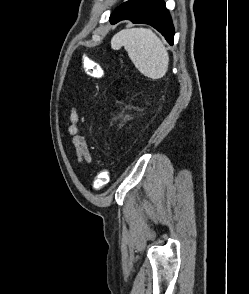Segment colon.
Returning <instances> with one entry per match:
<instances>
[{
	"instance_id": "1",
	"label": "colon",
	"mask_w": 249,
	"mask_h": 294,
	"mask_svg": "<svg viewBox=\"0 0 249 294\" xmlns=\"http://www.w3.org/2000/svg\"><path fill=\"white\" fill-rule=\"evenodd\" d=\"M82 67L85 73L92 78L101 79L104 76L103 67L93 62L89 59L82 60ZM110 181V171L108 169H103L98 172L92 182V188L96 191L105 187Z\"/></svg>"
}]
</instances>
